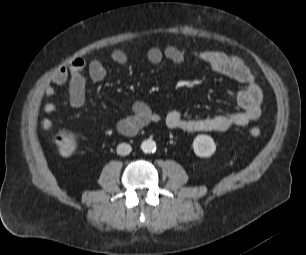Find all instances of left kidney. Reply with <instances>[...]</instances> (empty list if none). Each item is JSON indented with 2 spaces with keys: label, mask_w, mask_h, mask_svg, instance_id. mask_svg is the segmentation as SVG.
Segmentation results:
<instances>
[{
  "label": "left kidney",
  "mask_w": 306,
  "mask_h": 255,
  "mask_svg": "<svg viewBox=\"0 0 306 255\" xmlns=\"http://www.w3.org/2000/svg\"><path fill=\"white\" fill-rule=\"evenodd\" d=\"M194 153L199 157H210L216 150V144L208 135H198L192 144Z\"/></svg>",
  "instance_id": "5707ae66"
}]
</instances>
